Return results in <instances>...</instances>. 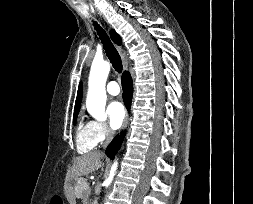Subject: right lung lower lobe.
I'll return each instance as SVG.
<instances>
[{
	"mask_svg": "<svg viewBox=\"0 0 253 204\" xmlns=\"http://www.w3.org/2000/svg\"><path fill=\"white\" fill-rule=\"evenodd\" d=\"M122 88H123V100L126 105V107L129 109L131 100H132V94H133V83L132 78L130 76L129 72H124L122 75ZM124 138V134L119 138V135H117L112 142L108 145L106 149V155L110 159H114L115 154L117 153L122 140Z\"/></svg>",
	"mask_w": 253,
	"mask_h": 204,
	"instance_id": "right-lung-lower-lobe-1",
	"label": "right lung lower lobe"
}]
</instances>
